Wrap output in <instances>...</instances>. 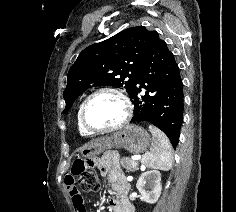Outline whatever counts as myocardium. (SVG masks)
<instances>
[{
	"label": "myocardium",
	"mask_w": 236,
	"mask_h": 212,
	"mask_svg": "<svg viewBox=\"0 0 236 212\" xmlns=\"http://www.w3.org/2000/svg\"><path fill=\"white\" fill-rule=\"evenodd\" d=\"M102 93H111L116 95L123 103L124 106V115L123 118L119 123H117L114 126L103 128V129H95L92 128L86 120V109L89 104V102L97 95L102 94ZM133 112V105L129 97L126 95L124 91H122L119 88L113 87V86H104L100 87L93 92H91L82 102L81 107H80V123L83 126V128L89 133V134H106V133H111L118 131L122 128H124L128 122L131 119Z\"/></svg>",
	"instance_id": "f54148a6"
}]
</instances>
